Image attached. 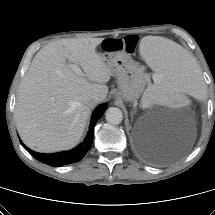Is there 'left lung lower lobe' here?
<instances>
[{"label":"left lung lower lobe","mask_w":215,"mask_h":215,"mask_svg":"<svg viewBox=\"0 0 215 215\" xmlns=\"http://www.w3.org/2000/svg\"><path fill=\"white\" fill-rule=\"evenodd\" d=\"M138 152L149 162L157 163L158 161L153 157L151 149L148 146L139 147Z\"/></svg>","instance_id":"1"}]
</instances>
